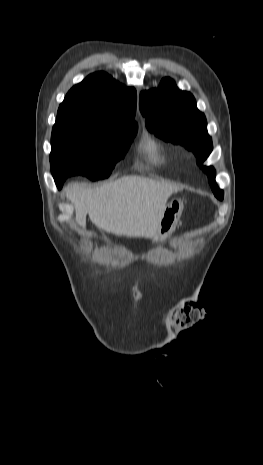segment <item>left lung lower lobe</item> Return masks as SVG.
I'll list each match as a JSON object with an SVG mask.
<instances>
[{"instance_id":"left-lung-lower-lobe-1","label":"left lung lower lobe","mask_w":263,"mask_h":465,"mask_svg":"<svg viewBox=\"0 0 263 465\" xmlns=\"http://www.w3.org/2000/svg\"><path fill=\"white\" fill-rule=\"evenodd\" d=\"M200 165L202 163H199ZM203 171L206 172L209 175H214L215 176V170L213 167H202Z\"/></svg>"}]
</instances>
